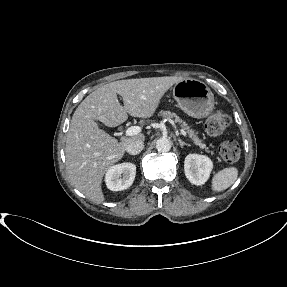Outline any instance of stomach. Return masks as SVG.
I'll use <instances>...</instances> for the list:
<instances>
[{
	"mask_svg": "<svg viewBox=\"0 0 287 287\" xmlns=\"http://www.w3.org/2000/svg\"><path fill=\"white\" fill-rule=\"evenodd\" d=\"M173 96L179 107L194 118L207 117L214 108V95L202 81L187 78L173 87Z\"/></svg>",
	"mask_w": 287,
	"mask_h": 287,
	"instance_id": "obj_1",
	"label": "stomach"
}]
</instances>
